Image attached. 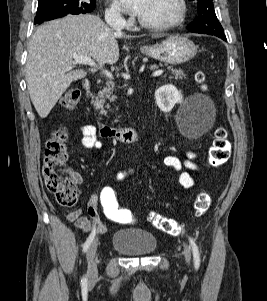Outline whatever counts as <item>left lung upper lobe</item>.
<instances>
[{"instance_id":"1","label":"left lung upper lobe","mask_w":267,"mask_h":301,"mask_svg":"<svg viewBox=\"0 0 267 301\" xmlns=\"http://www.w3.org/2000/svg\"><path fill=\"white\" fill-rule=\"evenodd\" d=\"M193 1L198 9V17L188 26L189 31L210 35H224L223 28L216 17L212 0Z\"/></svg>"}]
</instances>
